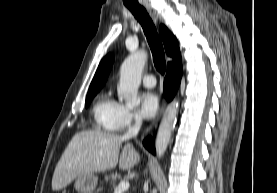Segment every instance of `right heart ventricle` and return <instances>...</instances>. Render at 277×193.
<instances>
[{
    "label": "right heart ventricle",
    "instance_id": "obj_1",
    "mask_svg": "<svg viewBox=\"0 0 277 193\" xmlns=\"http://www.w3.org/2000/svg\"><path fill=\"white\" fill-rule=\"evenodd\" d=\"M121 107L109 95L101 97L93 107L96 128L107 132L118 131Z\"/></svg>",
    "mask_w": 277,
    "mask_h": 193
}]
</instances>
